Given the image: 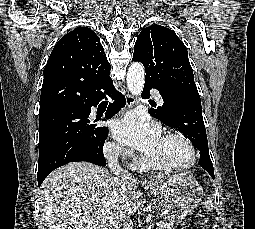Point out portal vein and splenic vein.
Here are the masks:
<instances>
[{"label": "portal vein and splenic vein", "mask_w": 255, "mask_h": 229, "mask_svg": "<svg viewBox=\"0 0 255 229\" xmlns=\"http://www.w3.org/2000/svg\"><path fill=\"white\" fill-rule=\"evenodd\" d=\"M156 225H157V226H161V223H160V222H158Z\"/></svg>", "instance_id": "18ae733b"}]
</instances>
